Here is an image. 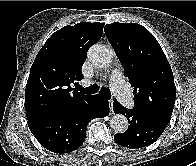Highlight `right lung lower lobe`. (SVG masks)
<instances>
[{
    "label": "right lung lower lobe",
    "instance_id": "1",
    "mask_svg": "<svg viewBox=\"0 0 196 166\" xmlns=\"http://www.w3.org/2000/svg\"><path fill=\"white\" fill-rule=\"evenodd\" d=\"M108 114V101L99 94L89 95L59 113L28 121V126L46 149L60 154L69 153L83 144L88 122Z\"/></svg>",
    "mask_w": 196,
    "mask_h": 166
}]
</instances>
